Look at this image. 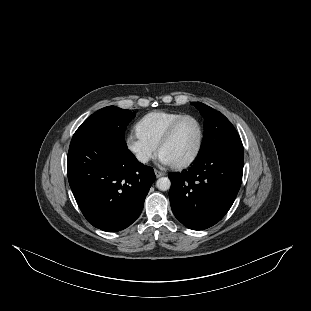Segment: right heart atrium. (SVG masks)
<instances>
[{
	"mask_svg": "<svg viewBox=\"0 0 311 311\" xmlns=\"http://www.w3.org/2000/svg\"><path fill=\"white\" fill-rule=\"evenodd\" d=\"M125 146L133 159L140 165H147L157 155L156 148L144 142L135 132L126 136Z\"/></svg>",
	"mask_w": 311,
	"mask_h": 311,
	"instance_id": "obj_1",
	"label": "right heart atrium"
}]
</instances>
